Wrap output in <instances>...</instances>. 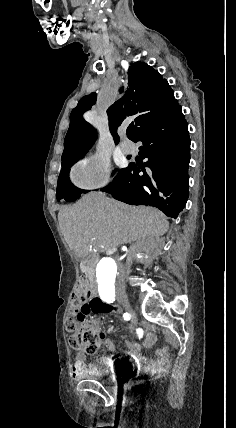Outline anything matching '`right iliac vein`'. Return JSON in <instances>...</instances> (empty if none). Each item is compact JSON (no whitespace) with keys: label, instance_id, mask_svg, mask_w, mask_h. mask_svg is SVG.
<instances>
[{"label":"right iliac vein","instance_id":"right-iliac-vein-1","mask_svg":"<svg viewBox=\"0 0 236 428\" xmlns=\"http://www.w3.org/2000/svg\"><path fill=\"white\" fill-rule=\"evenodd\" d=\"M116 299L120 301V303H121L120 305H122L125 308L126 312L130 313V317H132V319H131L132 323H131V325L128 326V329L132 330L133 327L136 326L135 322H136L137 317L135 316V312L131 311V308H130L131 303L128 301V298L126 297L125 294H118Z\"/></svg>","mask_w":236,"mask_h":428}]
</instances>
